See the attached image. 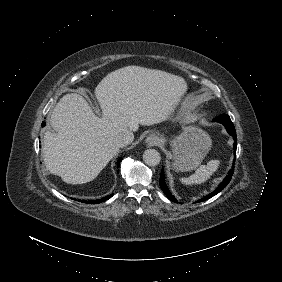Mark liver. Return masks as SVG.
Returning a JSON list of instances; mask_svg holds the SVG:
<instances>
[{"instance_id": "liver-1", "label": "liver", "mask_w": 282, "mask_h": 282, "mask_svg": "<svg viewBox=\"0 0 282 282\" xmlns=\"http://www.w3.org/2000/svg\"><path fill=\"white\" fill-rule=\"evenodd\" d=\"M93 93L101 116L81 95L69 93L53 109L55 132L44 133V166L67 184L94 180L118 152L113 141L118 133L169 120L188 93V83L161 69L128 65L107 73Z\"/></svg>"}]
</instances>
